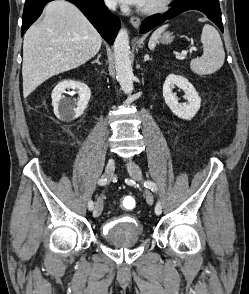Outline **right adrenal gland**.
<instances>
[{
    "label": "right adrenal gland",
    "instance_id": "1",
    "mask_svg": "<svg viewBox=\"0 0 249 294\" xmlns=\"http://www.w3.org/2000/svg\"><path fill=\"white\" fill-rule=\"evenodd\" d=\"M100 57H101V53L98 54L96 60L92 61V63H97V64L101 65V63H100V61H99Z\"/></svg>",
    "mask_w": 249,
    "mask_h": 294
}]
</instances>
